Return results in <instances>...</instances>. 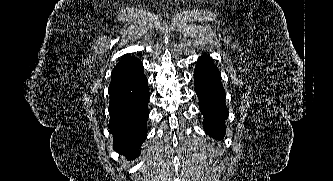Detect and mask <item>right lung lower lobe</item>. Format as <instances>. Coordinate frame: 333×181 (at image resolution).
Returning a JSON list of instances; mask_svg holds the SVG:
<instances>
[{
	"label": "right lung lower lobe",
	"mask_w": 333,
	"mask_h": 181,
	"mask_svg": "<svg viewBox=\"0 0 333 181\" xmlns=\"http://www.w3.org/2000/svg\"><path fill=\"white\" fill-rule=\"evenodd\" d=\"M109 131L113 134V147L128 159L139 155V147L147 136L146 121L149 116V90L144 74L109 90Z\"/></svg>",
	"instance_id": "98d812e1"
}]
</instances>
